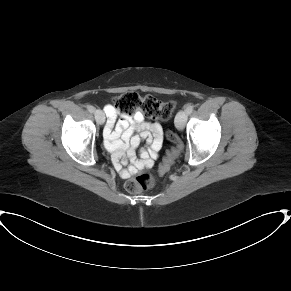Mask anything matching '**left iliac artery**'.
<instances>
[{
	"instance_id": "44dca946",
	"label": "left iliac artery",
	"mask_w": 291,
	"mask_h": 291,
	"mask_svg": "<svg viewBox=\"0 0 291 291\" xmlns=\"http://www.w3.org/2000/svg\"><path fill=\"white\" fill-rule=\"evenodd\" d=\"M193 110H194V108H193L192 105L189 104V105L186 106L185 111H186L188 114H191Z\"/></svg>"
}]
</instances>
